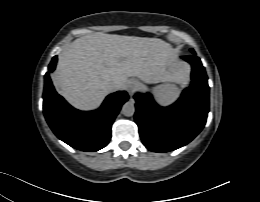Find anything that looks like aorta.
<instances>
[{
    "mask_svg": "<svg viewBox=\"0 0 260 202\" xmlns=\"http://www.w3.org/2000/svg\"><path fill=\"white\" fill-rule=\"evenodd\" d=\"M122 114L129 117L132 116L135 112V106L134 103L131 101L126 102L123 106H122V110H121Z\"/></svg>",
    "mask_w": 260,
    "mask_h": 202,
    "instance_id": "aorta-1",
    "label": "aorta"
}]
</instances>
